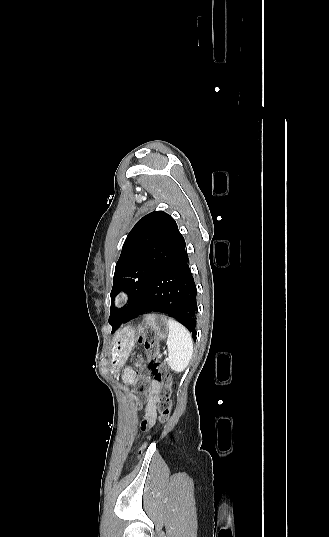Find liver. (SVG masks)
<instances>
[{"mask_svg": "<svg viewBox=\"0 0 329 537\" xmlns=\"http://www.w3.org/2000/svg\"><path fill=\"white\" fill-rule=\"evenodd\" d=\"M122 332V331H121ZM120 335V333H118L115 337H114V340L117 339V337Z\"/></svg>", "mask_w": 329, "mask_h": 537, "instance_id": "obj_1", "label": "liver"}]
</instances>
